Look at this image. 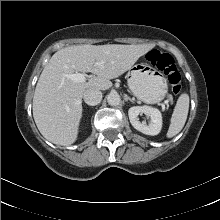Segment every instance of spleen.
<instances>
[{"label":"spleen","instance_id":"1","mask_svg":"<svg viewBox=\"0 0 220 220\" xmlns=\"http://www.w3.org/2000/svg\"><path fill=\"white\" fill-rule=\"evenodd\" d=\"M189 111V95L183 93L179 96L177 103L174 107L169 129L167 131V138L176 136L184 127Z\"/></svg>","mask_w":220,"mask_h":220}]
</instances>
